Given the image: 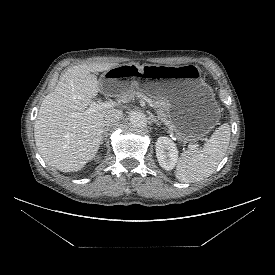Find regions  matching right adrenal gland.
<instances>
[{"label":"right adrenal gland","mask_w":275,"mask_h":275,"mask_svg":"<svg viewBox=\"0 0 275 275\" xmlns=\"http://www.w3.org/2000/svg\"><path fill=\"white\" fill-rule=\"evenodd\" d=\"M109 130H110V127H106V128L104 129V131H103V136H102V140H103L104 137H107V133H108ZM105 140H106V138H105Z\"/></svg>","instance_id":"2a0ac1e0"}]
</instances>
